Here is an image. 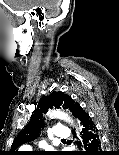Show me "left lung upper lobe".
<instances>
[{
  "instance_id": "left-lung-upper-lobe-1",
  "label": "left lung upper lobe",
  "mask_w": 119,
  "mask_h": 155,
  "mask_svg": "<svg viewBox=\"0 0 119 155\" xmlns=\"http://www.w3.org/2000/svg\"><path fill=\"white\" fill-rule=\"evenodd\" d=\"M76 105L77 103H75L74 100L69 95H66L61 91L52 92L48 96H43L38 102L37 109L32 118L30 119L29 123L27 124V126L14 139L11 146L10 155H18L16 149L19 146L37 138L39 131L44 126V122L42 120V114L47 112L49 108L62 107L64 109H68L74 114ZM52 155H63V153L56 152L53 153Z\"/></svg>"
}]
</instances>
